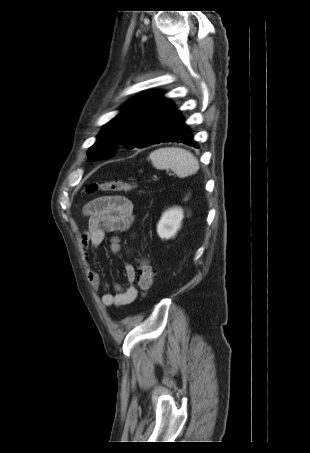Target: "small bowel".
Returning <instances> with one entry per match:
<instances>
[{
    "label": "small bowel",
    "instance_id": "c3829d8e",
    "mask_svg": "<svg viewBox=\"0 0 310 453\" xmlns=\"http://www.w3.org/2000/svg\"><path fill=\"white\" fill-rule=\"evenodd\" d=\"M83 214L87 219V229L82 235V246L85 255V267L87 278L94 288L98 291L104 289L101 303L104 307H122L131 304L137 297V289L134 285L136 271L134 265L126 261L124 271L127 279V287L121 289L115 286V291H111L110 284L103 281L100 274L92 269L89 248H98L104 241L107 233H124L132 227L135 215L133 203L125 196H101L90 201L83 209ZM111 249L115 252L121 249L120 239L114 235L110 239ZM125 255L129 259L132 255V248H125Z\"/></svg>",
    "mask_w": 310,
    "mask_h": 453
}]
</instances>
